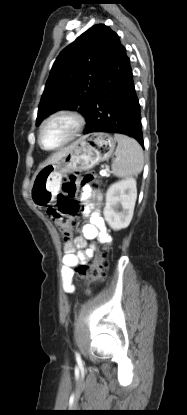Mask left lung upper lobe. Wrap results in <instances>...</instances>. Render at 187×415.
I'll return each mask as SVG.
<instances>
[{
    "instance_id": "left-lung-upper-lobe-1",
    "label": "left lung upper lobe",
    "mask_w": 187,
    "mask_h": 415,
    "mask_svg": "<svg viewBox=\"0 0 187 415\" xmlns=\"http://www.w3.org/2000/svg\"><path fill=\"white\" fill-rule=\"evenodd\" d=\"M117 38L108 26L99 24L61 51L46 82L36 125L58 110H76L86 119L93 115L95 87Z\"/></svg>"
}]
</instances>
